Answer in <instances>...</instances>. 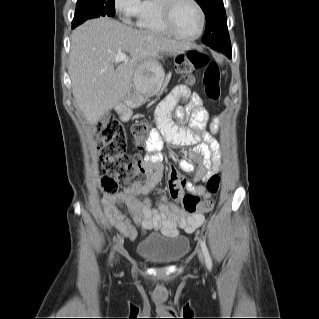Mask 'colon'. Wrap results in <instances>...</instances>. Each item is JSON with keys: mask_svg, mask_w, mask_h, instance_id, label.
Wrapping results in <instances>:
<instances>
[{"mask_svg": "<svg viewBox=\"0 0 319 319\" xmlns=\"http://www.w3.org/2000/svg\"><path fill=\"white\" fill-rule=\"evenodd\" d=\"M177 69L183 74L184 79L191 83L192 70L205 67L202 80L204 93L212 101L220 97V67L217 62L209 61L205 54L197 50H188L177 58ZM153 125L150 121L138 123L132 128V135L138 146L148 143L147 135L152 131ZM95 134L100 149V159L103 166L102 186L106 193H114L119 187H130L136 181H141L147 168L143 157L132 158L127 153V133L124 126L115 120L101 123L96 126ZM155 149H160L158 143H154ZM188 185L185 177L172 174L168 180V190L171 197L180 202L187 212H195L199 207L203 211H209L213 207L212 201L201 203L200 197L195 192H184L182 189ZM207 191L218 194L220 190V177L214 175L206 182Z\"/></svg>", "mask_w": 319, "mask_h": 319, "instance_id": "1", "label": "colon"}]
</instances>
